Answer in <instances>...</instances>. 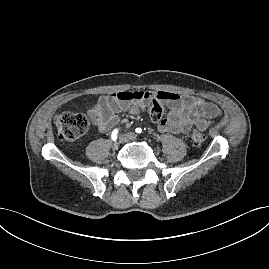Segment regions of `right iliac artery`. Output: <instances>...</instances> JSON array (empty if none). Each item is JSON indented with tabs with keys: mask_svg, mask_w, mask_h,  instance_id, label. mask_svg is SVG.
I'll return each instance as SVG.
<instances>
[{
	"mask_svg": "<svg viewBox=\"0 0 269 269\" xmlns=\"http://www.w3.org/2000/svg\"><path fill=\"white\" fill-rule=\"evenodd\" d=\"M117 135H118V129H114L111 134V138L113 141L117 139Z\"/></svg>",
	"mask_w": 269,
	"mask_h": 269,
	"instance_id": "obj_1",
	"label": "right iliac artery"
}]
</instances>
